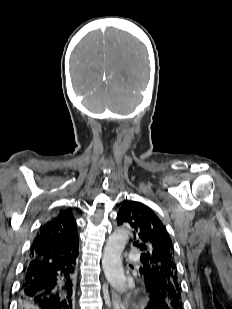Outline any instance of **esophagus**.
I'll list each match as a JSON object with an SVG mask.
<instances>
[{
  "label": "esophagus",
  "mask_w": 232,
  "mask_h": 309,
  "mask_svg": "<svg viewBox=\"0 0 232 309\" xmlns=\"http://www.w3.org/2000/svg\"><path fill=\"white\" fill-rule=\"evenodd\" d=\"M112 306L114 309H122L123 305L121 303V300L119 296L116 293H112V298H111Z\"/></svg>",
  "instance_id": "34e87169"
}]
</instances>
